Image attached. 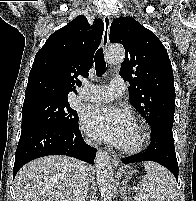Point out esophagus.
Returning a JSON list of instances; mask_svg holds the SVG:
<instances>
[{"label":"esophagus","instance_id":"esophagus-1","mask_svg":"<svg viewBox=\"0 0 196 201\" xmlns=\"http://www.w3.org/2000/svg\"><path fill=\"white\" fill-rule=\"evenodd\" d=\"M103 22H104V31L102 36V47L103 49H106L109 44V32H110V25H111L110 17L104 16ZM112 161L115 165H117L119 164L120 159L118 157H114Z\"/></svg>","mask_w":196,"mask_h":201}]
</instances>
